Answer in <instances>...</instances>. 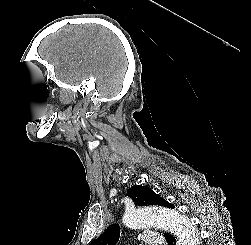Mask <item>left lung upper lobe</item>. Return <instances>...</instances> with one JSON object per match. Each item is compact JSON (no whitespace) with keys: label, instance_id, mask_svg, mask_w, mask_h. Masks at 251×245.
Returning <instances> with one entry per match:
<instances>
[{"label":"left lung upper lobe","instance_id":"obj_1","mask_svg":"<svg viewBox=\"0 0 251 245\" xmlns=\"http://www.w3.org/2000/svg\"><path fill=\"white\" fill-rule=\"evenodd\" d=\"M128 197H130L137 205H158L167 208H174V205L164 200L150 188L142 185H134L128 190ZM119 226L113 224L109 226L105 232L92 241L89 245H116L119 239Z\"/></svg>","mask_w":251,"mask_h":245}]
</instances>
